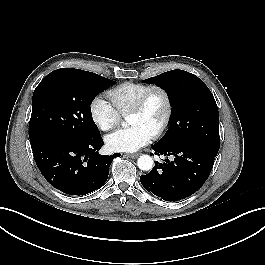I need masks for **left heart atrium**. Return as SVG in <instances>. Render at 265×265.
<instances>
[{
	"instance_id": "39dd6f15",
	"label": "left heart atrium",
	"mask_w": 265,
	"mask_h": 265,
	"mask_svg": "<svg viewBox=\"0 0 265 265\" xmlns=\"http://www.w3.org/2000/svg\"><path fill=\"white\" fill-rule=\"evenodd\" d=\"M152 133L141 125L118 129L105 138L106 145L113 152H134L145 146Z\"/></svg>"
}]
</instances>
